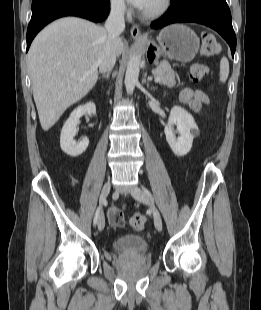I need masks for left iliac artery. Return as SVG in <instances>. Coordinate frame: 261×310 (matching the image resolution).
<instances>
[{
  "label": "left iliac artery",
  "mask_w": 261,
  "mask_h": 310,
  "mask_svg": "<svg viewBox=\"0 0 261 310\" xmlns=\"http://www.w3.org/2000/svg\"><path fill=\"white\" fill-rule=\"evenodd\" d=\"M142 189L144 190V192L147 194L148 197H150L151 199H153L151 193H150L144 186H142Z\"/></svg>",
  "instance_id": "left-iliac-artery-1"
}]
</instances>
